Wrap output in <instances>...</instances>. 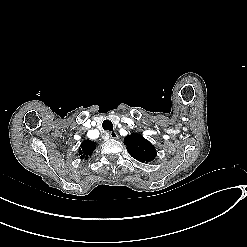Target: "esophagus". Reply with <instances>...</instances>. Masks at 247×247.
Masks as SVG:
<instances>
[{
	"instance_id": "1",
	"label": "esophagus",
	"mask_w": 247,
	"mask_h": 247,
	"mask_svg": "<svg viewBox=\"0 0 247 247\" xmlns=\"http://www.w3.org/2000/svg\"><path fill=\"white\" fill-rule=\"evenodd\" d=\"M109 136H110V138H112V139H118V138H119V136L117 135L116 132H110V133H109Z\"/></svg>"
}]
</instances>
